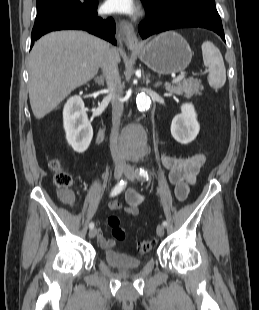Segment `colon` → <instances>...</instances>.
<instances>
[{"mask_svg": "<svg viewBox=\"0 0 259 310\" xmlns=\"http://www.w3.org/2000/svg\"><path fill=\"white\" fill-rule=\"evenodd\" d=\"M51 168L56 171L55 183L61 189H68L72 183L71 176L61 169V165L58 160L51 161ZM66 200L71 202L73 196L68 194ZM108 225L111 228V233L113 238L117 240H123L125 238V230L120 225V219L117 215H110L108 217ZM156 244V239L154 237H147L141 240L138 244L137 251L139 254L144 255L149 253Z\"/></svg>", "mask_w": 259, "mask_h": 310, "instance_id": "obj_1", "label": "colon"}]
</instances>
